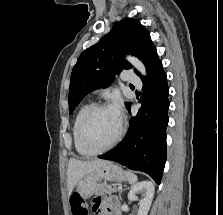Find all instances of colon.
I'll return each mask as SVG.
<instances>
[{
  "instance_id": "colon-1",
  "label": "colon",
  "mask_w": 223,
  "mask_h": 215,
  "mask_svg": "<svg viewBox=\"0 0 223 215\" xmlns=\"http://www.w3.org/2000/svg\"><path fill=\"white\" fill-rule=\"evenodd\" d=\"M72 215H87L84 200L78 193H74L70 199Z\"/></svg>"
}]
</instances>
